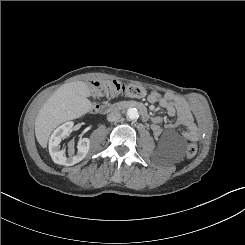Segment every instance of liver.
<instances>
[{"instance_id": "obj_1", "label": "liver", "mask_w": 245, "mask_h": 245, "mask_svg": "<svg viewBox=\"0 0 245 245\" xmlns=\"http://www.w3.org/2000/svg\"><path fill=\"white\" fill-rule=\"evenodd\" d=\"M90 95L88 85L76 81L62 85L47 99L35 120L36 139L43 148L47 147L49 136L58 125L91 110Z\"/></svg>"}]
</instances>
